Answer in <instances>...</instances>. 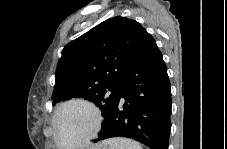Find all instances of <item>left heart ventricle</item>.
I'll return each mask as SVG.
<instances>
[{
    "label": "left heart ventricle",
    "instance_id": "left-heart-ventricle-1",
    "mask_svg": "<svg viewBox=\"0 0 227 149\" xmlns=\"http://www.w3.org/2000/svg\"><path fill=\"white\" fill-rule=\"evenodd\" d=\"M94 123L92 112L81 105H72L61 111L57 119V134L61 144L77 143L86 137Z\"/></svg>",
    "mask_w": 227,
    "mask_h": 149
}]
</instances>
